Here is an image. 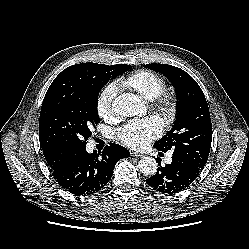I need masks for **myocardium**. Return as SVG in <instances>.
Listing matches in <instances>:
<instances>
[{"label": "myocardium", "instance_id": "myocardium-1", "mask_svg": "<svg viewBox=\"0 0 249 249\" xmlns=\"http://www.w3.org/2000/svg\"><path fill=\"white\" fill-rule=\"evenodd\" d=\"M152 106L160 112L168 121L174 119L177 108V97L175 93L163 91L151 100Z\"/></svg>", "mask_w": 249, "mask_h": 249}]
</instances>
